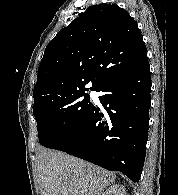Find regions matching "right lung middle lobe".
<instances>
[{
  "mask_svg": "<svg viewBox=\"0 0 178 195\" xmlns=\"http://www.w3.org/2000/svg\"><path fill=\"white\" fill-rule=\"evenodd\" d=\"M84 91L52 98L33 108L41 145L56 147L91 109L93 104Z\"/></svg>",
  "mask_w": 178,
  "mask_h": 195,
  "instance_id": "dd1d6c3e",
  "label": "right lung middle lobe"
}]
</instances>
